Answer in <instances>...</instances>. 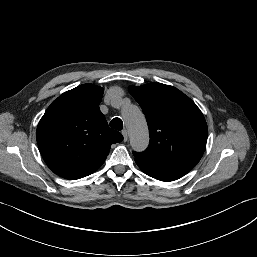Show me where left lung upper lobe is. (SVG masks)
Masks as SVG:
<instances>
[{
    "label": "left lung upper lobe",
    "instance_id": "left-lung-upper-lobe-1",
    "mask_svg": "<svg viewBox=\"0 0 257 257\" xmlns=\"http://www.w3.org/2000/svg\"><path fill=\"white\" fill-rule=\"evenodd\" d=\"M129 91L145 114L148 148L135 161L160 167H194L207 142V124L196 104L177 88L150 83Z\"/></svg>",
    "mask_w": 257,
    "mask_h": 257
}]
</instances>
